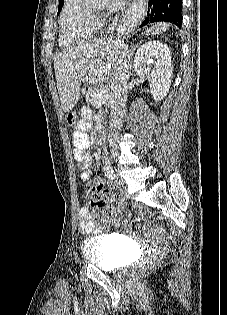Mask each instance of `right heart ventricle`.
I'll return each instance as SVG.
<instances>
[{"label":"right heart ventricle","mask_w":227,"mask_h":315,"mask_svg":"<svg viewBox=\"0 0 227 315\" xmlns=\"http://www.w3.org/2000/svg\"><path fill=\"white\" fill-rule=\"evenodd\" d=\"M100 22L92 17L84 0H64L59 15V45L70 48L93 38Z\"/></svg>","instance_id":"e07e8e85"}]
</instances>
